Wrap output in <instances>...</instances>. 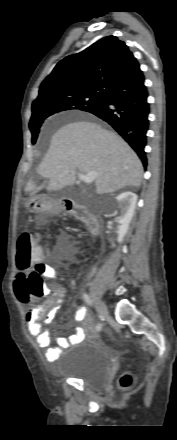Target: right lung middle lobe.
<instances>
[{"label": "right lung middle lobe", "instance_id": "obj_1", "mask_svg": "<svg viewBox=\"0 0 177 440\" xmlns=\"http://www.w3.org/2000/svg\"><path fill=\"white\" fill-rule=\"evenodd\" d=\"M102 97V94H68L56 98L42 106L33 107L32 117L29 123V128L32 133V143L34 144L36 142L41 126L49 116L73 109L87 111L100 103Z\"/></svg>", "mask_w": 177, "mask_h": 440}]
</instances>
